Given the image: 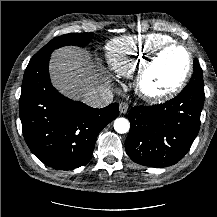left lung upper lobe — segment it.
<instances>
[{"instance_id":"5c2ea615","label":"left lung upper lobe","mask_w":217,"mask_h":217,"mask_svg":"<svg viewBox=\"0 0 217 217\" xmlns=\"http://www.w3.org/2000/svg\"><path fill=\"white\" fill-rule=\"evenodd\" d=\"M193 75L189 84H194L204 90L203 73L198 61L195 59L193 63Z\"/></svg>"}]
</instances>
